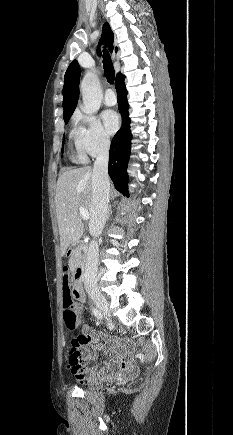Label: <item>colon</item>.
<instances>
[{
  "mask_svg": "<svg viewBox=\"0 0 233 435\" xmlns=\"http://www.w3.org/2000/svg\"><path fill=\"white\" fill-rule=\"evenodd\" d=\"M71 278H74V273H72L68 267L63 268V277L62 280L64 282H69ZM63 305L65 307L63 318L66 328L69 331H73L77 325L78 320V309L73 304L72 298L69 294H64L63 296ZM84 337L71 335L69 337V351L67 356V362L71 364H79L82 362V356L78 349L81 342H83Z\"/></svg>",
  "mask_w": 233,
  "mask_h": 435,
  "instance_id": "1",
  "label": "colon"
}]
</instances>
